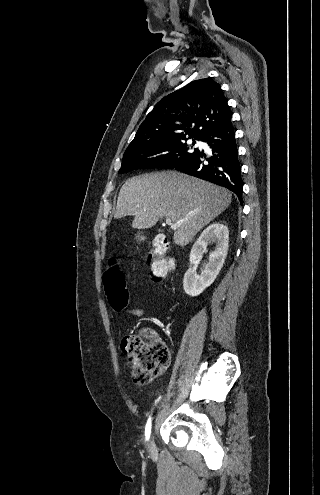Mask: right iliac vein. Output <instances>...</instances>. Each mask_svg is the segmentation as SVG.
<instances>
[{
  "label": "right iliac vein",
  "mask_w": 320,
  "mask_h": 495,
  "mask_svg": "<svg viewBox=\"0 0 320 495\" xmlns=\"http://www.w3.org/2000/svg\"><path fill=\"white\" fill-rule=\"evenodd\" d=\"M148 450L151 454H154L156 452V445L154 443L153 437L149 440Z\"/></svg>",
  "instance_id": "right-iliac-vein-1"
}]
</instances>
